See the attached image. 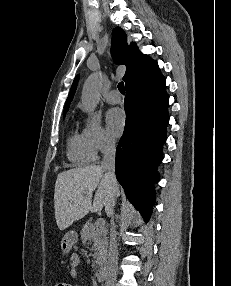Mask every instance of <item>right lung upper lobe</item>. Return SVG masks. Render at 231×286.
<instances>
[{
  "mask_svg": "<svg viewBox=\"0 0 231 286\" xmlns=\"http://www.w3.org/2000/svg\"><path fill=\"white\" fill-rule=\"evenodd\" d=\"M111 52L114 61L118 65H126V72L123 77L125 84L158 68L157 63L142 54L135 43H131L128 46L126 34L119 27L115 28L112 32ZM78 78L79 76L74 79L72 84L70 94L65 103L64 114L68 111L70 102L73 99Z\"/></svg>",
  "mask_w": 231,
  "mask_h": 286,
  "instance_id": "1",
  "label": "right lung upper lobe"
}]
</instances>
